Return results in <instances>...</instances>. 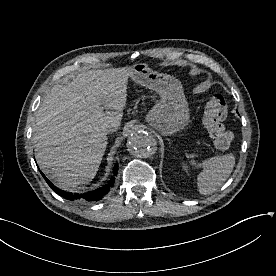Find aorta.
Segmentation results:
<instances>
[{
	"label": "aorta",
	"instance_id": "762f6f07",
	"mask_svg": "<svg viewBox=\"0 0 276 276\" xmlns=\"http://www.w3.org/2000/svg\"><path fill=\"white\" fill-rule=\"evenodd\" d=\"M127 148L129 153L136 158H149L157 149V140L145 131H136L129 137Z\"/></svg>",
	"mask_w": 276,
	"mask_h": 276
}]
</instances>
